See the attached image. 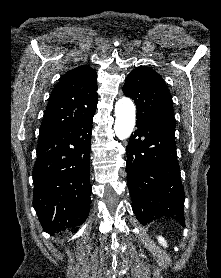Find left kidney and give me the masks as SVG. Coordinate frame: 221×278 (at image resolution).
<instances>
[{
  "mask_svg": "<svg viewBox=\"0 0 221 278\" xmlns=\"http://www.w3.org/2000/svg\"><path fill=\"white\" fill-rule=\"evenodd\" d=\"M157 239H158V242H159L163 247H167V242H166V240H165L162 236H158Z\"/></svg>",
  "mask_w": 221,
  "mask_h": 278,
  "instance_id": "left-kidney-1",
  "label": "left kidney"
}]
</instances>
